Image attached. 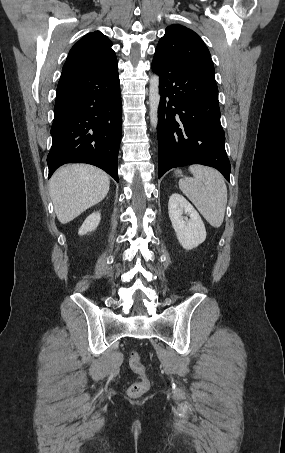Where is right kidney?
<instances>
[{"instance_id": "right-kidney-1", "label": "right kidney", "mask_w": 285, "mask_h": 453, "mask_svg": "<svg viewBox=\"0 0 285 453\" xmlns=\"http://www.w3.org/2000/svg\"><path fill=\"white\" fill-rule=\"evenodd\" d=\"M101 220V214L100 212H94L90 214L85 221L83 222L82 226L80 227L78 234L79 235H85L88 232L94 231L97 226L99 225Z\"/></svg>"}]
</instances>
